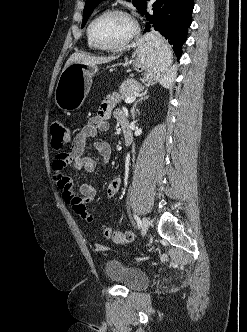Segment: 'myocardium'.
Returning <instances> with one entry per match:
<instances>
[{"label": "myocardium", "mask_w": 247, "mask_h": 332, "mask_svg": "<svg viewBox=\"0 0 247 332\" xmlns=\"http://www.w3.org/2000/svg\"><path fill=\"white\" fill-rule=\"evenodd\" d=\"M122 15L124 17H126L132 25L131 31L130 33L119 43L114 44V45H104L99 43L93 34V29L95 24L102 18L108 16V15ZM139 31V27L138 24L136 22V20L126 11L122 10V9H118V8H114V9H108L103 11L102 13H100L99 15H97L89 24L88 26V36L89 39L91 40V42L99 49L102 50H109V51H114V50H120L124 47H126L133 39L134 37L137 35Z\"/></svg>", "instance_id": "1"}]
</instances>
